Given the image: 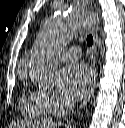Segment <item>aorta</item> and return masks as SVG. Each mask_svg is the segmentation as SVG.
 Returning <instances> with one entry per match:
<instances>
[{
    "label": "aorta",
    "instance_id": "obj_1",
    "mask_svg": "<svg viewBox=\"0 0 125 128\" xmlns=\"http://www.w3.org/2000/svg\"><path fill=\"white\" fill-rule=\"evenodd\" d=\"M92 19L90 12L74 9L66 16L50 19L39 31L35 53L31 59V76L36 84L45 88L54 87L59 79L58 67L53 52L85 28Z\"/></svg>",
    "mask_w": 125,
    "mask_h": 128
}]
</instances>
